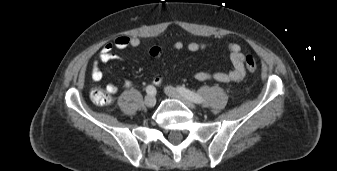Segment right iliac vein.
<instances>
[{"label":"right iliac vein","mask_w":337,"mask_h":171,"mask_svg":"<svg viewBox=\"0 0 337 171\" xmlns=\"http://www.w3.org/2000/svg\"><path fill=\"white\" fill-rule=\"evenodd\" d=\"M144 102L147 107H153L156 104V98L154 95H147Z\"/></svg>","instance_id":"right-iliac-vein-1"}]
</instances>
